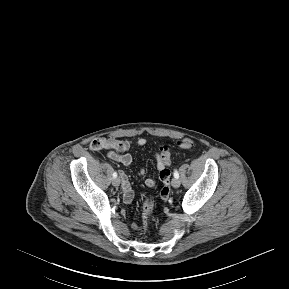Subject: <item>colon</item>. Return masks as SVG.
<instances>
[{"instance_id": "colon-1", "label": "colon", "mask_w": 289, "mask_h": 289, "mask_svg": "<svg viewBox=\"0 0 289 289\" xmlns=\"http://www.w3.org/2000/svg\"><path fill=\"white\" fill-rule=\"evenodd\" d=\"M176 146L182 149H190L194 146V141L191 138H182L176 141ZM160 165L167 166L171 162L170 148L168 146H162L159 149ZM168 169V168H167ZM153 204L149 197H147L143 204L142 215L146 225H149L152 220Z\"/></svg>"}]
</instances>
